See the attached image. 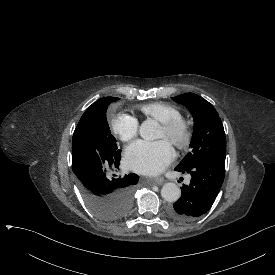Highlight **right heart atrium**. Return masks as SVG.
Segmentation results:
<instances>
[{
    "mask_svg": "<svg viewBox=\"0 0 275 275\" xmlns=\"http://www.w3.org/2000/svg\"><path fill=\"white\" fill-rule=\"evenodd\" d=\"M112 134L124 143H132L138 135V121L127 114H119L110 122Z\"/></svg>",
    "mask_w": 275,
    "mask_h": 275,
    "instance_id": "obj_1",
    "label": "right heart atrium"
}]
</instances>
